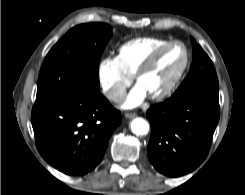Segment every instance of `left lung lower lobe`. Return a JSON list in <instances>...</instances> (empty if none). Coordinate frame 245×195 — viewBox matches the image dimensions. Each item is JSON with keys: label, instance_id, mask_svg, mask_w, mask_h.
<instances>
[{"label": "left lung lower lobe", "instance_id": "left-lung-lower-lobe-1", "mask_svg": "<svg viewBox=\"0 0 245 195\" xmlns=\"http://www.w3.org/2000/svg\"><path fill=\"white\" fill-rule=\"evenodd\" d=\"M146 115L151 125L149 161L160 173L179 177L205 160L220 109L216 101L169 98Z\"/></svg>", "mask_w": 245, "mask_h": 195}]
</instances>
